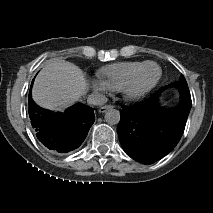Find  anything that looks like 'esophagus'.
Returning <instances> with one entry per match:
<instances>
[{"instance_id": "34e87169", "label": "esophagus", "mask_w": 213, "mask_h": 213, "mask_svg": "<svg viewBox=\"0 0 213 213\" xmlns=\"http://www.w3.org/2000/svg\"><path fill=\"white\" fill-rule=\"evenodd\" d=\"M112 107L113 106H111V105H105V106L100 107L98 111H99V113H104V112H106L108 109H110Z\"/></svg>"}]
</instances>
